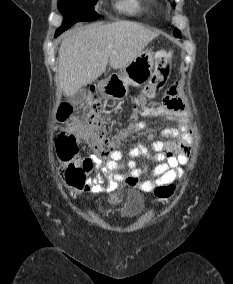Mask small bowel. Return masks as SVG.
Here are the masks:
<instances>
[{
	"label": "small bowel",
	"mask_w": 233,
	"mask_h": 284,
	"mask_svg": "<svg viewBox=\"0 0 233 284\" xmlns=\"http://www.w3.org/2000/svg\"><path fill=\"white\" fill-rule=\"evenodd\" d=\"M186 103L179 94L177 84L170 86L162 100L151 105L143 106L140 115L145 117H162L170 121L178 122L179 125L167 128L162 132L164 138L169 140H157L152 143V158L157 164L151 168L152 180L144 179L143 176L149 171V167L138 166L136 158L150 155V149L139 143L130 150L129 158L124 159L120 150H114L106 160L98 156L90 159L95 165L96 175L87 180L81 188L85 192H100L114 189L121 182L131 186H137L145 192H151L158 186L168 185L184 176V166L188 163L191 154V138L188 126L184 120ZM134 128L146 130L143 122H136ZM77 134L82 140L87 138L85 127L77 125ZM148 139L153 140V135L148 134Z\"/></svg>",
	"instance_id": "c3829d8e"
}]
</instances>
